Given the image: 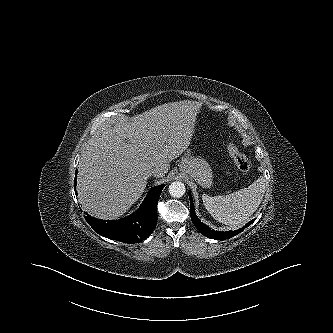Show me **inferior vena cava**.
<instances>
[{
  "mask_svg": "<svg viewBox=\"0 0 333 333\" xmlns=\"http://www.w3.org/2000/svg\"><path fill=\"white\" fill-rule=\"evenodd\" d=\"M149 176H158L160 174V171L158 168H152L148 172Z\"/></svg>",
  "mask_w": 333,
  "mask_h": 333,
  "instance_id": "inferior-vena-cava-1",
  "label": "inferior vena cava"
}]
</instances>
